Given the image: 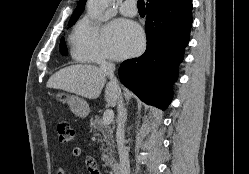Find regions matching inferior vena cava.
Here are the masks:
<instances>
[{
  "instance_id": "obj_1",
  "label": "inferior vena cava",
  "mask_w": 249,
  "mask_h": 174,
  "mask_svg": "<svg viewBox=\"0 0 249 174\" xmlns=\"http://www.w3.org/2000/svg\"><path fill=\"white\" fill-rule=\"evenodd\" d=\"M101 70L110 78V82L115 86L118 94V125H117V144H118V154L120 160V174H130V162L129 155L125 147V123L127 120V111L123 104V99L121 95V89L119 87L118 81L114 76L115 65L111 62L102 60L100 62Z\"/></svg>"
}]
</instances>
